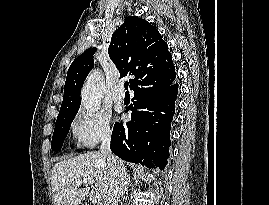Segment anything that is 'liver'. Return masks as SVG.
I'll use <instances>...</instances> for the list:
<instances>
[{
  "label": "liver",
  "instance_id": "liver-1",
  "mask_svg": "<svg viewBox=\"0 0 269 205\" xmlns=\"http://www.w3.org/2000/svg\"><path fill=\"white\" fill-rule=\"evenodd\" d=\"M95 178V191L105 200L112 179V172L100 152H87L57 162L52 169V189L55 192L54 205H79L85 200L90 188H80L76 180Z\"/></svg>",
  "mask_w": 269,
  "mask_h": 205
}]
</instances>
